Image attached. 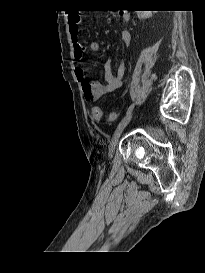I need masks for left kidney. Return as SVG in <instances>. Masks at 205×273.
Wrapping results in <instances>:
<instances>
[{"mask_svg": "<svg viewBox=\"0 0 205 273\" xmlns=\"http://www.w3.org/2000/svg\"><path fill=\"white\" fill-rule=\"evenodd\" d=\"M155 12L156 11H137V16L139 19H147L152 17Z\"/></svg>", "mask_w": 205, "mask_h": 273, "instance_id": "5707ae66", "label": "left kidney"}]
</instances>
